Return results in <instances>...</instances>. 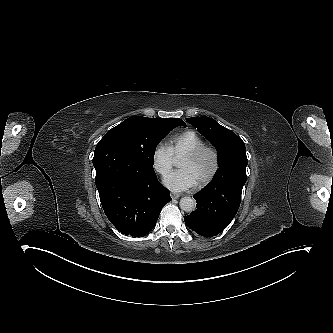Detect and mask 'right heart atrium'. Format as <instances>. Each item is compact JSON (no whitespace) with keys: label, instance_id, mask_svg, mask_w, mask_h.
<instances>
[{"label":"right heart atrium","instance_id":"d8ad5b80","mask_svg":"<svg viewBox=\"0 0 333 333\" xmlns=\"http://www.w3.org/2000/svg\"><path fill=\"white\" fill-rule=\"evenodd\" d=\"M153 165L157 172L167 174L175 165V159L167 147L159 146L153 153Z\"/></svg>","mask_w":333,"mask_h":333}]
</instances>
